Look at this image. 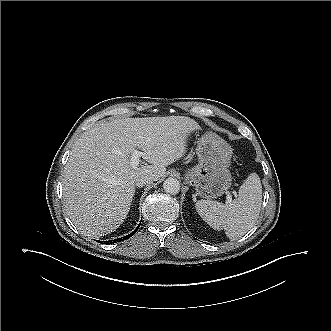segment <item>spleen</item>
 <instances>
[{"instance_id":"3e777b00","label":"spleen","mask_w":331,"mask_h":331,"mask_svg":"<svg viewBox=\"0 0 331 331\" xmlns=\"http://www.w3.org/2000/svg\"><path fill=\"white\" fill-rule=\"evenodd\" d=\"M262 185L252 173L239 189V197L222 204L200 200L195 208L201 218L215 230H223L230 239H238L253 226L260 209Z\"/></svg>"}]
</instances>
